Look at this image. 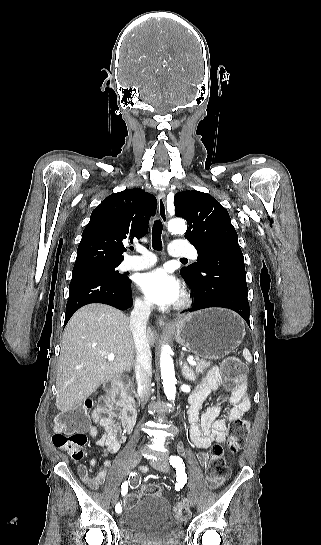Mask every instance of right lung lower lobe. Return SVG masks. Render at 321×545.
Here are the masks:
<instances>
[{"label": "right lung lower lobe", "instance_id": "1", "mask_svg": "<svg viewBox=\"0 0 321 545\" xmlns=\"http://www.w3.org/2000/svg\"><path fill=\"white\" fill-rule=\"evenodd\" d=\"M131 280L114 279L96 272L81 271L73 273L66 305L65 324L82 306L90 303H103L120 310L132 306Z\"/></svg>", "mask_w": 321, "mask_h": 545}]
</instances>
